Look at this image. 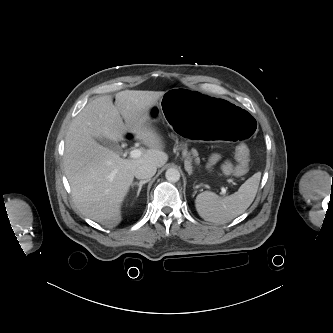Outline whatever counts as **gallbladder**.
Wrapping results in <instances>:
<instances>
[{
  "label": "gallbladder",
  "mask_w": 333,
  "mask_h": 333,
  "mask_svg": "<svg viewBox=\"0 0 333 333\" xmlns=\"http://www.w3.org/2000/svg\"><path fill=\"white\" fill-rule=\"evenodd\" d=\"M97 141L102 144L103 146H105L106 148L118 153V154H121L122 152V149L120 147V145L117 143V142H114V141H111V140H108L106 138H103V139H97Z\"/></svg>",
  "instance_id": "1"
}]
</instances>
